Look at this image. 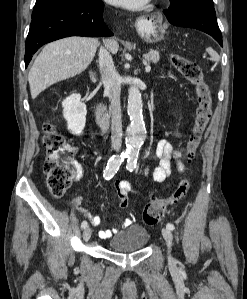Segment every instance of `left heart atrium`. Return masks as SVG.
Masks as SVG:
<instances>
[{
	"label": "left heart atrium",
	"mask_w": 247,
	"mask_h": 299,
	"mask_svg": "<svg viewBox=\"0 0 247 299\" xmlns=\"http://www.w3.org/2000/svg\"><path fill=\"white\" fill-rule=\"evenodd\" d=\"M106 1L116 6L135 9L143 6L148 0H106Z\"/></svg>",
	"instance_id": "left-heart-atrium-1"
}]
</instances>
